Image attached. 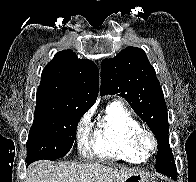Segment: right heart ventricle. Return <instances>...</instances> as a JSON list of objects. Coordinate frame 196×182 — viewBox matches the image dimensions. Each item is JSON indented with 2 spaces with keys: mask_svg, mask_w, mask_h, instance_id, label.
<instances>
[{
  "mask_svg": "<svg viewBox=\"0 0 196 182\" xmlns=\"http://www.w3.org/2000/svg\"><path fill=\"white\" fill-rule=\"evenodd\" d=\"M140 123L120 102L110 103L92 135L91 151L100 158L140 163L145 156L134 145Z\"/></svg>",
  "mask_w": 196,
  "mask_h": 182,
  "instance_id": "1",
  "label": "right heart ventricle"
}]
</instances>
